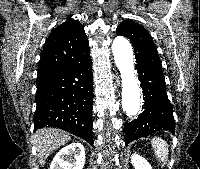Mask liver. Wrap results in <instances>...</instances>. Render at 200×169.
<instances>
[{
  "mask_svg": "<svg viewBox=\"0 0 200 169\" xmlns=\"http://www.w3.org/2000/svg\"><path fill=\"white\" fill-rule=\"evenodd\" d=\"M69 133L57 128H42L35 132L34 142L37 150L38 162L44 166L47 157L59 147L70 141Z\"/></svg>",
  "mask_w": 200,
  "mask_h": 169,
  "instance_id": "obj_1",
  "label": "liver"
}]
</instances>
